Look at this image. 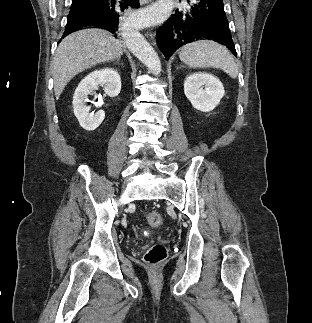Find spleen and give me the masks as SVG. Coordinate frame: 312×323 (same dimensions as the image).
<instances>
[{
  "mask_svg": "<svg viewBox=\"0 0 312 323\" xmlns=\"http://www.w3.org/2000/svg\"><path fill=\"white\" fill-rule=\"evenodd\" d=\"M188 68H221L230 78H237L238 68L225 46L212 40H199L186 44L179 54Z\"/></svg>",
  "mask_w": 312,
  "mask_h": 323,
  "instance_id": "3e777b00",
  "label": "spleen"
}]
</instances>
